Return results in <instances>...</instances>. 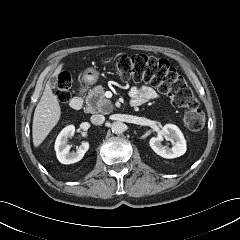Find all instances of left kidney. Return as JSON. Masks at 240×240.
<instances>
[{
	"label": "left kidney",
	"mask_w": 240,
	"mask_h": 240,
	"mask_svg": "<svg viewBox=\"0 0 240 240\" xmlns=\"http://www.w3.org/2000/svg\"><path fill=\"white\" fill-rule=\"evenodd\" d=\"M170 137L174 141V146L169 148L162 145L163 137ZM152 150L159 156L167 159L180 157L186 152V141L180 129L173 124H166L156 137L149 141Z\"/></svg>",
	"instance_id": "left-kidney-1"
}]
</instances>
